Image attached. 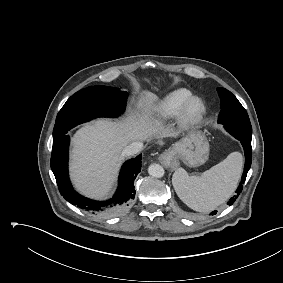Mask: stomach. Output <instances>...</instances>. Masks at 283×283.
<instances>
[{"mask_svg":"<svg viewBox=\"0 0 283 283\" xmlns=\"http://www.w3.org/2000/svg\"><path fill=\"white\" fill-rule=\"evenodd\" d=\"M171 161H181L187 166H199L209 157V143L205 135L199 131H192L175 143L172 148L162 155Z\"/></svg>","mask_w":283,"mask_h":283,"instance_id":"obj_1","label":"stomach"}]
</instances>
